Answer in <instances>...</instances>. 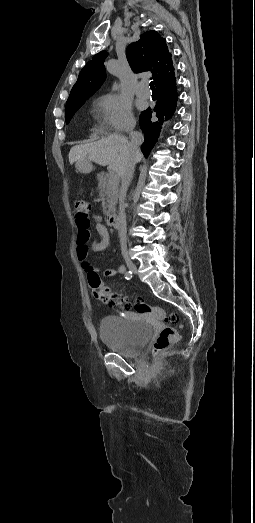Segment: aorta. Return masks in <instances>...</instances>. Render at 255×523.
Listing matches in <instances>:
<instances>
[{"instance_id": "1", "label": "aorta", "mask_w": 255, "mask_h": 523, "mask_svg": "<svg viewBox=\"0 0 255 523\" xmlns=\"http://www.w3.org/2000/svg\"><path fill=\"white\" fill-rule=\"evenodd\" d=\"M113 89H114V90L116 89V85L113 86Z\"/></svg>"}]
</instances>
